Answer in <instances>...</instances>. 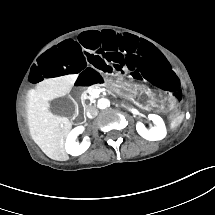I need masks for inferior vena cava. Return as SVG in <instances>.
<instances>
[{
    "label": "inferior vena cava",
    "mask_w": 215,
    "mask_h": 215,
    "mask_svg": "<svg viewBox=\"0 0 215 215\" xmlns=\"http://www.w3.org/2000/svg\"><path fill=\"white\" fill-rule=\"evenodd\" d=\"M97 112H98L97 108L93 105L88 106L86 108V115L88 118H93V117L97 116Z\"/></svg>",
    "instance_id": "inferior-vena-cava-1"
}]
</instances>
